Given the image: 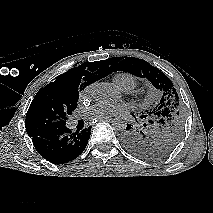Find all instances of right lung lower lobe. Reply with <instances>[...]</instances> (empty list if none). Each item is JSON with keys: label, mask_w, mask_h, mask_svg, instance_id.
<instances>
[{"label": "right lung lower lobe", "mask_w": 213, "mask_h": 213, "mask_svg": "<svg viewBox=\"0 0 213 213\" xmlns=\"http://www.w3.org/2000/svg\"><path fill=\"white\" fill-rule=\"evenodd\" d=\"M91 127L81 132L65 127L46 131L31 137L37 152L47 161L54 164H64L74 160L86 148Z\"/></svg>", "instance_id": "right-lung-lower-lobe-1"}]
</instances>
